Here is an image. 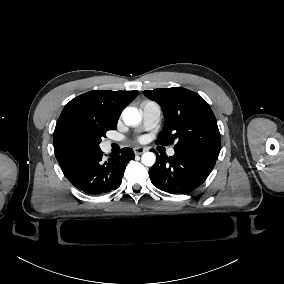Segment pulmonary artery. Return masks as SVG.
Listing matches in <instances>:
<instances>
[{
  "mask_svg": "<svg viewBox=\"0 0 284 284\" xmlns=\"http://www.w3.org/2000/svg\"><path fill=\"white\" fill-rule=\"evenodd\" d=\"M140 111L142 114L141 124L139 130L152 128L157 124L160 118L161 109L158 103L154 101H145L140 105ZM108 141L107 143H110ZM169 155L174 154L173 148L168 150Z\"/></svg>",
  "mask_w": 284,
  "mask_h": 284,
  "instance_id": "e3ab8cb5",
  "label": "pulmonary artery"
}]
</instances>
